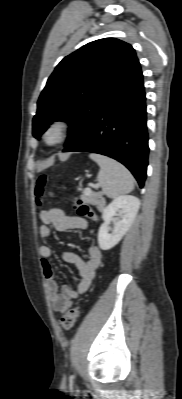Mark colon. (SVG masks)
I'll use <instances>...</instances> for the list:
<instances>
[{
    "label": "colon",
    "instance_id": "5ec220e1",
    "mask_svg": "<svg viewBox=\"0 0 182 399\" xmlns=\"http://www.w3.org/2000/svg\"><path fill=\"white\" fill-rule=\"evenodd\" d=\"M49 176L47 174H41L38 177V181L35 187V196L38 203H41L43 199V195L45 192V188L49 183ZM69 201L74 205L77 209L78 213L82 216H86L92 220L97 219V214L93 209H91L86 203H84L81 199L71 196ZM79 316V306H75L70 308L65 312V314L60 319V325L64 330H70L74 325Z\"/></svg>",
    "mask_w": 182,
    "mask_h": 399
}]
</instances>
